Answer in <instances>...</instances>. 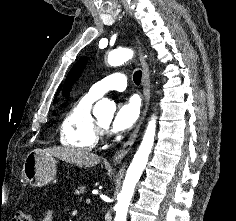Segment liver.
I'll use <instances>...</instances> for the list:
<instances>
[{"instance_id": "6515ba94", "label": "liver", "mask_w": 236, "mask_h": 221, "mask_svg": "<svg viewBox=\"0 0 236 221\" xmlns=\"http://www.w3.org/2000/svg\"><path fill=\"white\" fill-rule=\"evenodd\" d=\"M44 152L78 167H92L101 161V157L97 154L69 146L46 148Z\"/></svg>"}]
</instances>
